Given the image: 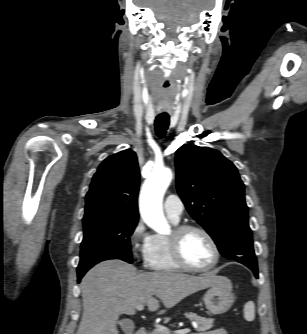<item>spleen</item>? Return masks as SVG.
<instances>
[{
	"label": "spleen",
	"instance_id": "1",
	"mask_svg": "<svg viewBox=\"0 0 307 334\" xmlns=\"http://www.w3.org/2000/svg\"><path fill=\"white\" fill-rule=\"evenodd\" d=\"M244 318L247 321L255 319V304L252 301H248L244 306Z\"/></svg>",
	"mask_w": 307,
	"mask_h": 334
}]
</instances>
